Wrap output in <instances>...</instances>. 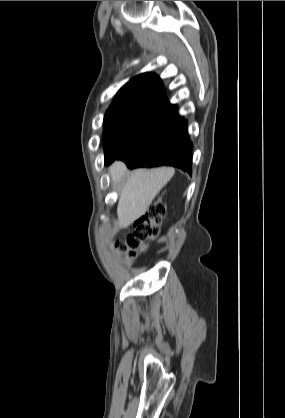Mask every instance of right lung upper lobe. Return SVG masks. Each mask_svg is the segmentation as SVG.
<instances>
[{
    "mask_svg": "<svg viewBox=\"0 0 285 418\" xmlns=\"http://www.w3.org/2000/svg\"><path fill=\"white\" fill-rule=\"evenodd\" d=\"M140 103L153 107L177 110L166 98L163 84L155 74L144 73L132 78L117 93L112 105ZM111 105V106H112Z\"/></svg>",
    "mask_w": 285,
    "mask_h": 418,
    "instance_id": "1",
    "label": "right lung upper lobe"
}]
</instances>
